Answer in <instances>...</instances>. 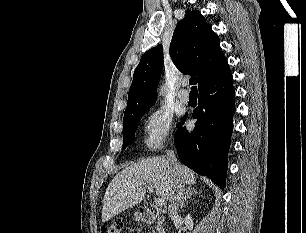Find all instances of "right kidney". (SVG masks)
<instances>
[{"instance_id": "right-kidney-1", "label": "right kidney", "mask_w": 306, "mask_h": 233, "mask_svg": "<svg viewBox=\"0 0 306 233\" xmlns=\"http://www.w3.org/2000/svg\"><path fill=\"white\" fill-rule=\"evenodd\" d=\"M185 225L190 229L192 230L193 229V219L192 217L190 216V214H188L185 218Z\"/></svg>"}]
</instances>
